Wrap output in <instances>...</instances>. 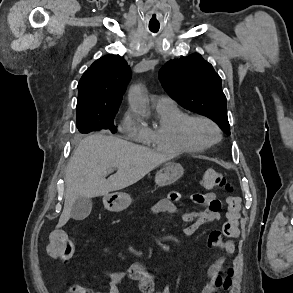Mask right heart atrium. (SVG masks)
Listing matches in <instances>:
<instances>
[{
    "mask_svg": "<svg viewBox=\"0 0 293 293\" xmlns=\"http://www.w3.org/2000/svg\"><path fill=\"white\" fill-rule=\"evenodd\" d=\"M121 128L135 138L141 139L144 135L142 126L133 110H127L121 120Z\"/></svg>",
    "mask_w": 293,
    "mask_h": 293,
    "instance_id": "obj_1",
    "label": "right heart atrium"
}]
</instances>
